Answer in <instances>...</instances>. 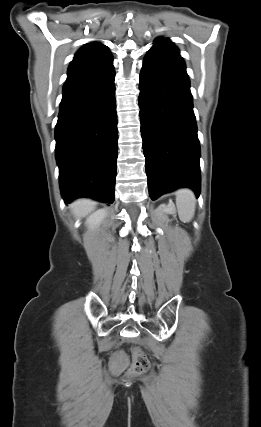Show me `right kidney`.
<instances>
[{
	"instance_id": "obj_1",
	"label": "right kidney",
	"mask_w": 261,
	"mask_h": 427,
	"mask_svg": "<svg viewBox=\"0 0 261 427\" xmlns=\"http://www.w3.org/2000/svg\"><path fill=\"white\" fill-rule=\"evenodd\" d=\"M105 217H106V210L99 209L87 218L86 224L88 225L89 228H94L100 225Z\"/></svg>"
}]
</instances>
